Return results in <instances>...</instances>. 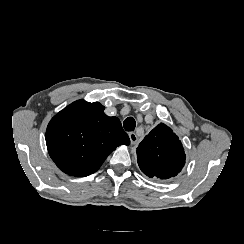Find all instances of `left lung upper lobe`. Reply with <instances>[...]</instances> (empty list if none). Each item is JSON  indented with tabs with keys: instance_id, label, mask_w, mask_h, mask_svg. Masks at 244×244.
<instances>
[{
	"instance_id": "5c2ea615",
	"label": "left lung upper lobe",
	"mask_w": 244,
	"mask_h": 244,
	"mask_svg": "<svg viewBox=\"0 0 244 244\" xmlns=\"http://www.w3.org/2000/svg\"><path fill=\"white\" fill-rule=\"evenodd\" d=\"M137 161L150 178L169 179L185 165V153L178 136L163 123L155 127L139 144Z\"/></svg>"
}]
</instances>
